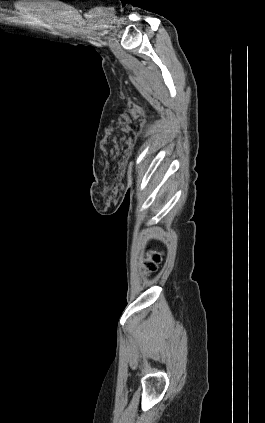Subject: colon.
I'll return each mask as SVG.
<instances>
[{
  "label": "colon",
  "instance_id": "1",
  "mask_svg": "<svg viewBox=\"0 0 265 423\" xmlns=\"http://www.w3.org/2000/svg\"><path fill=\"white\" fill-rule=\"evenodd\" d=\"M162 261V253L159 251L150 252L148 258L143 262L146 273L150 274L157 270L158 264Z\"/></svg>",
  "mask_w": 265,
  "mask_h": 423
}]
</instances>
